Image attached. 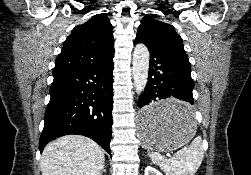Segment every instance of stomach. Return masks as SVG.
Instances as JSON below:
<instances>
[{"instance_id":"0dacf381","label":"stomach","mask_w":251,"mask_h":175,"mask_svg":"<svg viewBox=\"0 0 251 175\" xmlns=\"http://www.w3.org/2000/svg\"><path fill=\"white\" fill-rule=\"evenodd\" d=\"M193 110V106H183V100H154V105L142 107L137 121L141 143L156 151H172L185 145L199 133L196 129L199 128V118L181 113Z\"/></svg>"}]
</instances>
